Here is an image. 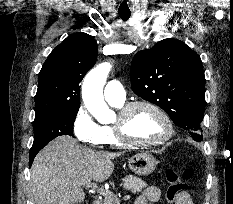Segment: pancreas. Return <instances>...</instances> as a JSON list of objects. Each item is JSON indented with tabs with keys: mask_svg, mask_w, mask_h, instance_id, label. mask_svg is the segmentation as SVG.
<instances>
[{
	"mask_svg": "<svg viewBox=\"0 0 233 204\" xmlns=\"http://www.w3.org/2000/svg\"><path fill=\"white\" fill-rule=\"evenodd\" d=\"M123 183L121 184L126 190H130L132 193H139L145 187H147V183L142 179L133 176L127 175L123 179ZM101 204H119V200L113 194L111 197H105L104 201Z\"/></svg>",
	"mask_w": 233,
	"mask_h": 204,
	"instance_id": "obj_1",
	"label": "pancreas"
}]
</instances>
